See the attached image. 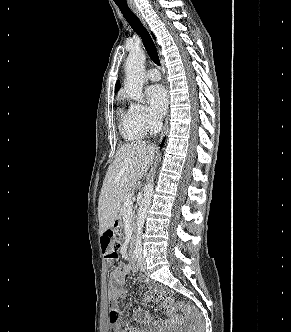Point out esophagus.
<instances>
[{"mask_svg":"<svg viewBox=\"0 0 291 332\" xmlns=\"http://www.w3.org/2000/svg\"><path fill=\"white\" fill-rule=\"evenodd\" d=\"M129 6L133 10V12L138 16V18L145 24L144 18L142 16V14L140 13V11L136 8V6L134 4H132V3H130ZM168 121H169V112H168V114L166 116L165 124H164L163 130H162L160 139L163 138V136L165 135V133H166V131L168 129Z\"/></svg>","mask_w":291,"mask_h":332,"instance_id":"34e87169","label":"esophagus"}]
</instances>
